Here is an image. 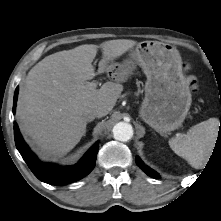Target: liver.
<instances>
[{"label":"liver","mask_w":221,"mask_h":221,"mask_svg":"<svg viewBox=\"0 0 221 221\" xmlns=\"http://www.w3.org/2000/svg\"><path fill=\"white\" fill-rule=\"evenodd\" d=\"M136 44L117 39L99 46L80 45L45 57L29 71L16 117L21 132L32 139L42 157L62 156L79 143L86 132L83 113L87 108H98L99 118L114 108L123 86L106 82L96 89L88 82L96 75L92 62L98 48L102 50L98 72L103 73Z\"/></svg>","instance_id":"liver-1"}]
</instances>
